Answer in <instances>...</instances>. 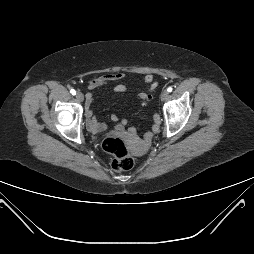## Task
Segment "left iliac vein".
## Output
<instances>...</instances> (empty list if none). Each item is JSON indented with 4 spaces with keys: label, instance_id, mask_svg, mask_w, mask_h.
Masks as SVG:
<instances>
[{
    "label": "left iliac vein",
    "instance_id": "obj_1",
    "mask_svg": "<svg viewBox=\"0 0 254 254\" xmlns=\"http://www.w3.org/2000/svg\"><path fill=\"white\" fill-rule=\"evenodd\" d=\"M168 96H169V93H168L167 91H163V92L161 93L160 98H161L162 101H165V100L168 99Z\"/></svg>",
    "mask_w": 254,
    "mask_h": 254
}]
</instances>
